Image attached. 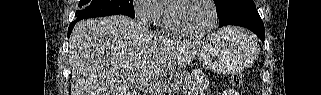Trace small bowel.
Masks as SVG:
<instances>
[{"mask_svg": "<svg viewBox=\"0 0 321 95\" xmlns=\"http://www.w3.org/2000/svg\"><path fill=\"white\" fill-rule=\"evenodd\" d=\"M222 95H237V92L236 90L232 89V88H229V89H226Z\"/></svg>", "mask_w": 321, "mask_h": 95, "instance_id": "1", "label": "small bowel"}]
</instances>
